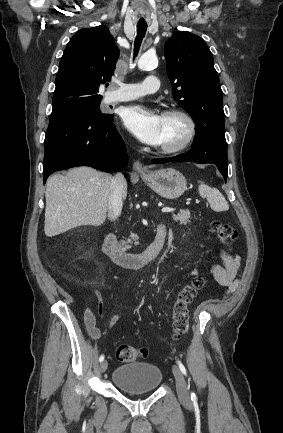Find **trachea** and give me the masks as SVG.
<instances>
[{
    "label": "trachea",
    "mask_w": 283,
    "mask_h": 433,
    "mask_svg": "<svg viewBox=\"0 0 283 433\" xmlns=\"http://www.w3.org/2000/svg\"><path fill=\"white\" fill-rule=\"evenodd\" d=\"M146 31H147V25H137V36H136L135 41H134V57H133V61H134V59L136 58V56H137V54L139 52V49H140L141 43L143 41V38L146 35Z\"/></svg>",
    "instance_id": "1"
}]
</instances>
